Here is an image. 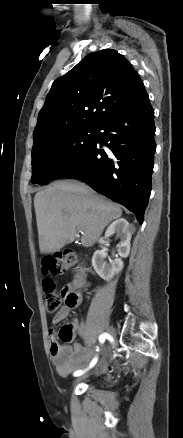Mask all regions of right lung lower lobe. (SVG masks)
Masks as SVG:
<instances>
[{
  "label": "right lung lower lobe",
  "mask_w": 183,
  "mask_h": 438,
  "mask_svg": "<svg viewBox=\"0 0 183 438\" xmlns=\"http://www.w3.org/2000/svg\"><path fill=\"white\" fill-rule=\"evenodd\" d=\"M154 134V110L146 94L104 120L94 141L55 179L73 177L87 183L134 212L142 224L151 192Z\"/></svg>",
  "instance_id": "obj_1"
}]
</instances>
